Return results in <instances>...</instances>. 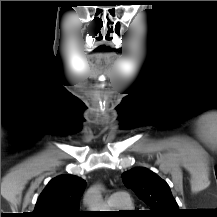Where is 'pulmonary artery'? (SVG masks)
I'll use <instances>...</instances> for the list:
<instances>
[{
	"label": "pulmonary artery",
	"instance_id": "pulmonary-artery-1",
	"mask_svg": "<svg viewBox=\"0 0 217 217\" xmlns=\"http://www.w3.org/2000/svg\"><path fill=\"white\" fill-rule=\"evenodd\" d=\"M107 201L110 206L120 208L123 205L129 204L130 198L126 192L116 191L108 197Z\"/></svg>",
	"mask_w": 217,
	"mask_h": 217
}]
</instances>
